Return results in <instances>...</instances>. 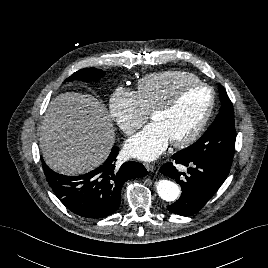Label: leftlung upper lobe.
Instances as JSON below:
<instances>
[{"mask_svg": "<svg viewBox=\"0 0 268 268\" xmlns=\"http://www.w3.org/2000/svg\"><path fill=\"white\" fill-rule=\"evenodd\" d=\"M219 91L222 102L219 115L196 143L176 154L186 159L215 161L231 168L236 139L233 106L220 84Z\"/></svg>", "mask_w": 268, "mask_h": 268, "instance_id": "1", "label": "left lung upper lobe"}]
</instances>
